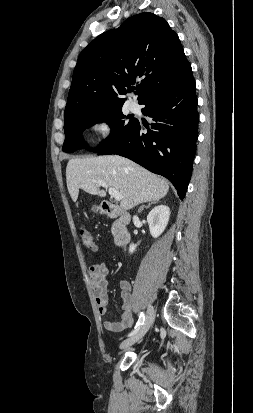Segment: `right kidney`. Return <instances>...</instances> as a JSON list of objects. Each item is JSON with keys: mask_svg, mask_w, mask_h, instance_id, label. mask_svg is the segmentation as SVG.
I'll return each instance as SVG.
<instances>
[{"mask_svg": "<svg viewBox=\"0 0 253 413\" xmlns=\"http://www.w3.org/2000/svg\"><path fill=\"white\" fill-rule=\"evenodd\" d=\"M170 217V209L166 205H159L153 208L148 216L147 222L149 225L150 233L152 237H159L165 230ZM136 249L135 244H131L129 252L133 253Z\"/></svg>", "mask_w": 253, "mask_h": 413, "instance_id": "obj_1", "label": "right kidney"}]
</instances>
